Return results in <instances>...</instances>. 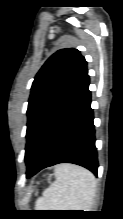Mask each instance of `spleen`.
<instances>
[{
    "label": "spleen",
    "mask_w": 123,
    "mask_h": 219,
    "mask_svg": "<svg viewBox=\"0 0 123 219\" xmlns=\"http://www.w3.org/2000/svg\"><path fill=\"white\" fill-rule=\"evenodd\" d=\"M55 177L56 180L37 200L38 209L91 210L96 180L90 171L73 164H60L55 167Z\"/></svg>",
    "instance_id": "1"
}]
</instances>
